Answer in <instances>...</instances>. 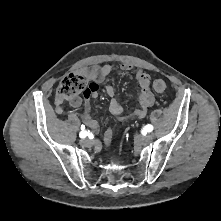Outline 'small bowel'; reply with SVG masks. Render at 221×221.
<instances>
[{
    "label": "small bowel",
    "instance_id": "c3829d8e",
    "mask_svg": "<svg viewBox=\"0 0 221 221\" xmlns=\"http://www.w3.org/2000/svg\"><path fill=\"white\" fill-rule=\"evenodd\" d=\"M132 65L128 63H124L120 66V70L122 72H128L132 70ZM113 71V66L110 64H105L101 67H89L84 70V74L91 80L87 83V88H83L81 90V97L85 99V112L83 114V119L88 127H90L93 130H97L99 128L98 122L91 117L90 115V100L92 98H96L98 94L102 90V84L105 79L109 76V74ZM136 80L138 82L139 86V104L140 107L137 108L133 114L132 117L143 119L146 114L147 110L150 106L154 103V95L151 91V84L152 79L143 70H139L136 73ZM106 94L111 98L109 103V112L111 115L118 117L120 120H125L127 118L121 117L123 113V107L118 102V100L115 98V88L112 85H107L105 87ZM69 105L73 108H78L82 104V99L78 96L69 98ZM63 99L59 97V95L56 96L55 104H56V111L58 113H61L63 110L62 107ZM113 138V130L111 128H108L104 135V142L105 144H110Z\"/></svg>",
    "mask_w": 221,
    "mask_h": 221
}]
</instances>
